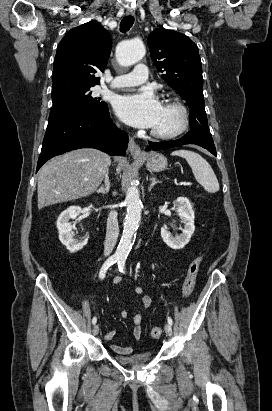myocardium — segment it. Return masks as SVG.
Masks as SVG:
<instances>
[{
    "mask_svg": "<svg viewBox=\"0 0 272 411\" xmlns=\"http://www.w3.org/2000/svg\"><path fill=\"white\" fill-rule=\"evenodd\" d=\"M164 106L171 107L177 111L179 115L178 124L174 129L165 132L152 129L151 135L160 140H171L180 136L187 129L189 124V114L185 105L173 98L167 99L164 102Z\"/></svg>",
    "mask_w": 272,
    "mask_h": 411,
    "instance_id": "f54148a6",
    "label": "myocardium"
}]
</instances>
